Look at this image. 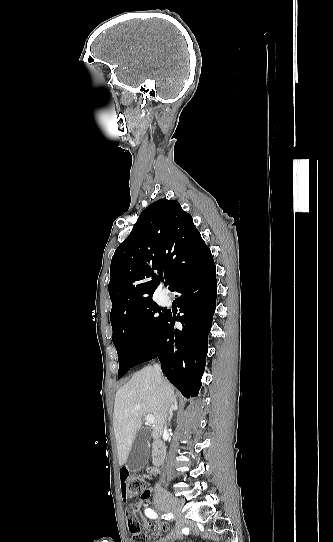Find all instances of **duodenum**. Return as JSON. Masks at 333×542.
I'll return each instance as SVG.
<instances>
[{"label":"duodenum","instance_id":"obj_1","mask_svg":"<svg viewBox=\"0 0 333 542\" xmlns=\"http://www.w3.org/2000/svg\"><path fill=\"white\" fill-rule=\"evenodd\" d=\"M166 457V447L160 441H155L152 447V464L159 467Z\"/></svg>","mask_w":333,"mask_h":542}]
</instances>
